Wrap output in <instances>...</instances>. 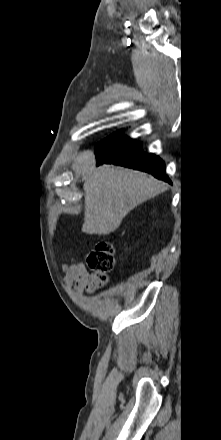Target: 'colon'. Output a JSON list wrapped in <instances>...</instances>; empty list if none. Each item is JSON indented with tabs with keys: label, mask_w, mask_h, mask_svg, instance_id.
Instances as JSON below:
<instances>
[{
	"label": "colon",
	"mask_w": 221,
	"mask_h": 440,
	"mask_svg": "<svg viewBox=\"0 0 221 440\" xmlns=\"http://www.w3.org/2000/svg\"><path fill=\"white\" fill-rule=\"evenodd\" d=\"M87 264L100 282H106L115 265V251L111 243L102 241L88 254Z\"/></svg>",
	"instance_id": "1"
}]
</instances>
